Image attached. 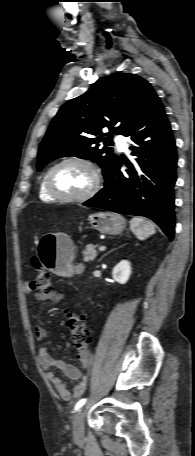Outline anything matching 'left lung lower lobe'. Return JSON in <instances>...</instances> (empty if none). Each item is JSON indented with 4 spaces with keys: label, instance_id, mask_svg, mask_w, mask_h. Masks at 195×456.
Returning a JSON list of instances; mask_svg holds the SVG:
<instances>
[{
    "label": "left lung lower lobe",
    "instance_id": "0a47b994",
    "mask_svg": "<svg viewBox=\"0 0 195 456\" xmlns=\"http://www.w3.org/2000/svg\"><path fill=\"white\" fill-rule=\"evenodd\" d=\"M125 136L138 145L130 147L137 166L119 159L105 177L104 188L83 205L148 217L172 240L177 152L170 123L158 96L136 118ZM123 163L129 167L127 175L120 172Z\"/></svg>",
    "mask_w": 195,
    "mask_h": 456
}]
</instances>
